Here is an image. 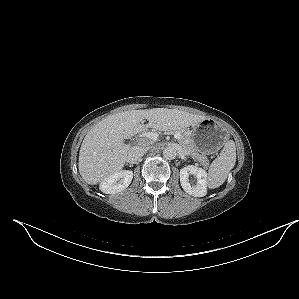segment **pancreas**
<instances>
[{"mask_svg":"<svg viewBox=\"0 0 299 299\" xmlns=\"http://www.w3.org/2000/svg\"><path fill=\"white\" fill-rule=\"evenodd\" d=\"M168 133L174 134L179 133V143L184 147L188 154L195 160L198 161L204 167L209 165V160L206 155L197 152L190 140V134L187 130H168Z\"/></svg>","mask_w":299,"mask_h":299,"instance_id":"cf45deb5","label":"pancreas"}]
</instances>
